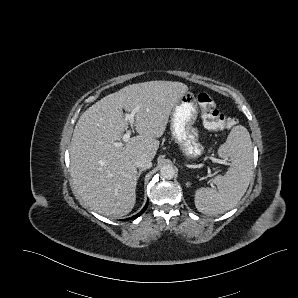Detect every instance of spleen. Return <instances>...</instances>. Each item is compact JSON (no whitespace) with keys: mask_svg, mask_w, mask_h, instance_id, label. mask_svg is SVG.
I'll use <instances>...</instances> for the list:
<instances>
[{"mask_svg":"<svg viewBox=\"0 0 298 298\" xmlns=\"http://www.w3.org/2000/svg\"><path fill=\"white\" fill-rule=\"evenodd\" d=\"M217 155L230 158L231 166L226 175H216L212 179L214 188H203L195 198L199 212L217 215L237 205L245 194L252 176L253 149L248 130L235 126L224 143L217 147Z\"/></svg>","mask_w":298,"mask_h":298,"instance_id":"1","label":"spleen"}]
</instances>
